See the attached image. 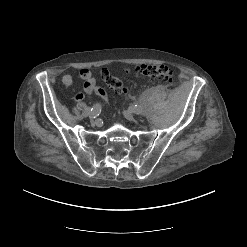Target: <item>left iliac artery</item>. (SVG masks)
<instances>
[{
	"label": "left iliac artery",
	"instance_id": "44dca946",
	"mask_svg": "<svg viewBox=\"0 0 247 247\" xmlns=\"http://www.w3.org/2000/svg\"><path fill=\"white\" fill-rule=\"evenodd\" d=\"M130 112L132 114H140L142 112V108L140 105L135 104L130 107Z\"/></svg>",
	"mask_w": 247,
	"mask_h": 247
}]
</instances>
